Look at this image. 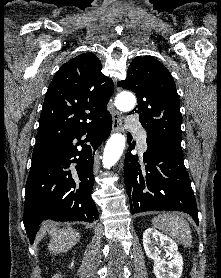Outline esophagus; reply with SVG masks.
<instances>
[{
	"instance_id": "esophagus-1",
	"label": "esophagus",
	"mask_w": 221,
	"mask_h": 278,
	"mask_svg": "<svg viewBox=\"0 0 221 278\" xmlns=\"http://www.w3.org/2000/svg\"><path fill=\"white\" fill-rule=\"evenodd\" d=\"M112 132H121L122 128V116L121 113L117 110L112 111Z\"/></svg>"
}]
</instances>
